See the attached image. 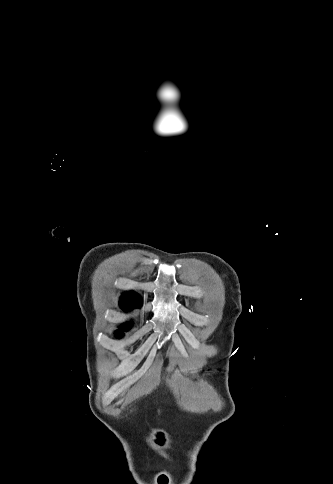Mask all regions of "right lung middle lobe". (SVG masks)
I'll return each instance as SVG.
<instances>
[{
  "label": "right lung middle lobe",
  "mask_w": 333,
  "mask_h": 484,
  "mask_svg": "<svg viewBox=\"0 0 333 484\" xmlns=\"http://www.w3.org/2000/svg\"><path fill=\"white\" fill-rule=\"evenodd\" d=\"M120 329H121V330H123V331H125V330L129 329V326H123V327H121ZM116 335H117L118 337H122V336H123V333H122L121 331H117V332H116Z\"/></svg>",
  "instance_id": "dd1d6c3e"
}]
</instances>
